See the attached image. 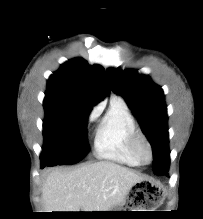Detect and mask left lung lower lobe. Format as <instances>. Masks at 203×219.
<instances>
[{
	"mask_svg": "<svg viewBox=\"0 0 203 219\" xmlns=\"http://www.w3.org/2000/svg\"><path fill=\"white\" fill-rule=\"evenodd\" d=\"M167 172H168V168L161 170V174H163V175H167Z\"/></svg>",
	"mask_w": 203,
	"mask_h": 219,
	"instance_id": "1",
	"label": "left lung lower lobe"
}]
</instances>
